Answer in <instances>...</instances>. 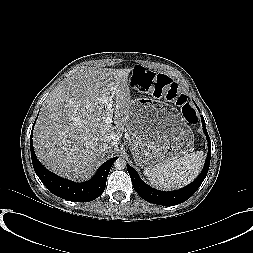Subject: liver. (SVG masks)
Masks as SVG:
<instances>
[{
  "label": "liver",
  "instance_id": "liver-1",
  "mask_svg": "<svg viewBox=\"0 0 253 253\" xmlns=\"http://www.w3.org/2000/svg\"><path fill=\"white\" fill-rule=\"evenodd\" d=\"M130 72L83 68L53 89L43 103L33 136L36 155L46 168L84 181L117 150L132 103ZM109 98L114 125L103 121ZM104 143L110 145L106 151Z\"/></svg>",
  "mask_w": 253,
  "mask_h": 253
}]
</instances>
